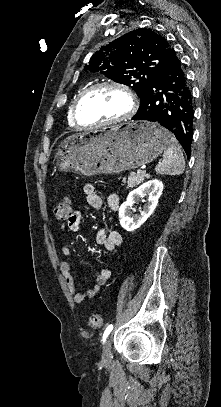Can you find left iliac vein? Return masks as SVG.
<instances>
[{"instance_id":"1","label":"left iliac vein","mask_w":221,"mask_h":407,"mask_svg":"<svg viewBox=\"0 0 221 407\" xmlns=\"http://www.w3.org/2000/svg\"><path fill=\"white\" fill-rule=\"evenodd\" d=\"M111 356H112V353H111V339L108 338L107 341L105 342L104 346H103L102 360L103 361H108V360H110Z\"/></svg>"}]
</instances>
